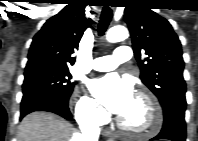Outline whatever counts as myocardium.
Returning a JSON list of instances; mask_svg holds the SVG:
<instances>
[{"instance_id": "1", "label": "myocardium", "mask_w": 198, "mask_h": 141, "mask_svg": "<svg viewBox=\"0 0 198 141\" xmlns=\"http://www.w3.org/2000/svg\"><path fill=\"white\" fill-rule=\"evenodd\" d=\"M136 98L142 101L147 107L148 121H149L148 125L144 128L131 127L127 123H125L120 117L117 119L118 126L123 131L128 132L135 136L154 134L159 129L161 124V115H160L159 107L156 101L153 99V97L145 92H139L136 95Z\"/></svg>"}]
</instances>
